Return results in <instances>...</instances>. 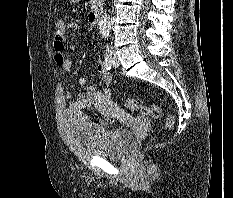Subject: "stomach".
<instances>
[{
	"label": "stomach",
	"mask_w": 233,
	"mask_h": 198,
	"mask_svg": "<svg viewBox=\"0 0 233 198\" xmlns=\"http://www.w3.org/2000/svg\"><path fill=\"white\" fill-rule=\"evenodd\" d=\"M80 0H70L71 3H77L79 2Z\"/></svg>",
	"instance_id": "stomach-1"
}]
</instances>
